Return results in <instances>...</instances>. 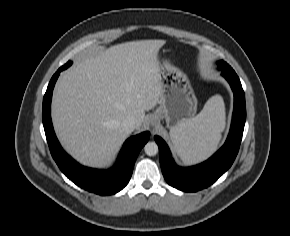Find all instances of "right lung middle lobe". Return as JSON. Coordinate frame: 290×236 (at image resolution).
Returning <instances> with one entry per match:
<instances>
[{
	"instance_id": "1",
	"label": "right lung middle lobe",
	"mask_w": 290,
	"mask_h": 236,
	"mask_svg": "<svg viewBox=\"0 0 290 236\" xmlns=\"http://www.w3.org/2000/svg\"><path fill=\"white\" fill-rule=\"evenodd\" d=\"M72 64V62H67L64 66H62V69H66L68 68L70 65Z\"/></svg>"
}]
</instances>
